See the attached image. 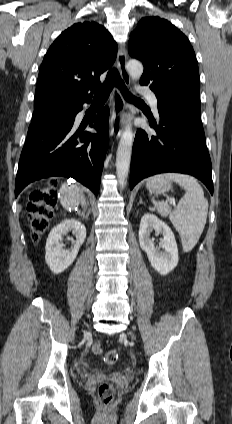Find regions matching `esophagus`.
Masks as SVG:
<instances>
[{"instance_id": "1", "label": "esophagus", "mask_w": 232, "mask_h": 424, "mask_svg": "<svg viewBox=\"0 0 232 424\" xmlns=\"http://www.w3.org/2000/svg\"><path fill=\"white\" fill-rule=\"evenodd\" d=\"M117 63L120 72L121 79L125 83V85L130 84V76L128 74L126 64H127V55L125 48L123 46L119 47L118 55H117ZM126 108V102L118 88H115L113 91V108L112 115L110 120V128L109 134L110 136L118 139L121 135L122 128V118Z\"/></svg>"}]
</instances>
